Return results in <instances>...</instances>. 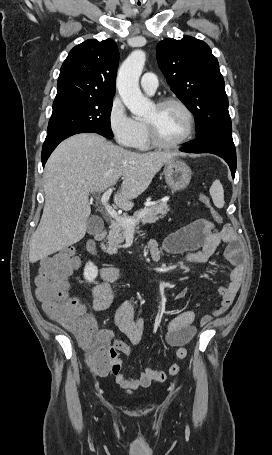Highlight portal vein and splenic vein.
I'll return each instance as SVG.
<instances>
[{
  "label": "portal vein and splenic vein",
  "instance_id": "obj_1",
  "mask_svg": "<svg viewBox=\"0 0 272 455\" xmlns=\"http://www.w3.org/2000/svg\"><path fill=\"white\" fill-rule=\"evenodd\" d=\"M113 192V188H109L101 197V203L104 206L106 212L110 217L115 219L118 223H120L123 227L127 228L128 230H132L133 226L136 224L137 220L121 217L117 214L116 210L109 205L108 200ZM144 215V213L142 214Z\"/></svg>",
  "mask_w": 272,
  "mask_h": 455
}]
</instances>
